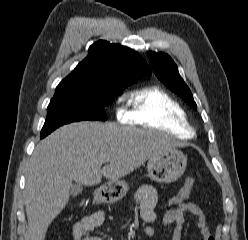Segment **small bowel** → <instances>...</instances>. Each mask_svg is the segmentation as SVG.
<instances>
[{"label":"small bowel","instance_id":"c3829d8e","mask_svg":"<svg viewBox=\"0 0 248 240\" xmlns=\"http://www.w3.org/2000/svg\"><path fill=\"white\" fill-rule=\"evenodd\" d=\"M135 200L139 205L141 217L147 224L145 233L151 236L154 233L153 225L157 219L155 212L158 202L157 190L151 185H143L137 190ZM185 214L195 217L203 240H215L206 224L204 213L192 202H184L164 214V224L174 226L172 240H182ZM104 218L105 214L101 209L83 214L72 228L73 240H103L101 237L93 235V231L103 223Z\"/></svg>","mask_w":248,"mask_h":240}]
</instances>
